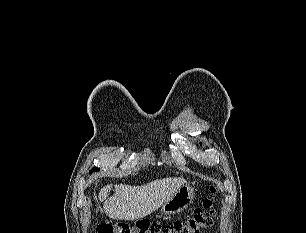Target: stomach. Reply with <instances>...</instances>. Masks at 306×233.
<instances>
[{"instance_id":"1","label":"stomach","mask_w":306,"mask_h":233,"mask_svg":"<svg viewBox=\"0 0 306 233\" xmlns=\"http://www.w3.org/2000/svg\"><path fill=\"white\" fill-rule=\"evenodd\" d=\"M193 189L184 184L161 206L164 215H173L184 210L193 200Z\"/></svg>"}]
</instances>
